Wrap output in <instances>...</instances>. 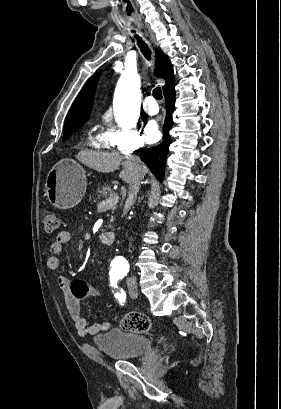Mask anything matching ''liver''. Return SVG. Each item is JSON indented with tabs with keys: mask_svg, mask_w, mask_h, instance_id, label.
Masks as SVG:
<instances>
[{
	"mask_svg": "<svg viewBox=\"0 0 281 409\" xmlns=\"http://www.w3.org/2000/svg\"><path fill=\"white\" fill-rule=\"evenodd\" d=\"M76 158L81 160L83 164L99 170V172H114L120 164L123 166V170H120L119 178H122L124 182H130L134 174V164L132 160H123L124 156L118 154V152H100V150H81L76 154ZM147 166H144V172H147Z\"/></svg>",
	"mask_w": 281,
	"mask_h": 409,
	"instance_id": "obj_1",
	"label": "liver"
}]
</instances>
